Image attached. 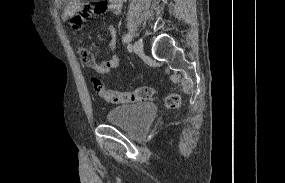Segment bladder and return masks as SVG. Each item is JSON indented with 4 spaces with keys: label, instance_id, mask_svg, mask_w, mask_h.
Returning <instances> with one entry per match:
<instances>
[{
    "label": "bladder",
    "instance_id": "31cf9c89",
    "mask_svg": "<svg viewBox=\"0 0 285 183\" xmlns=\"http://www.w3.org/2000/svg\"><path fill=\"white\" fill-rule=\"evenodd\" d=\"M157 114V107L149 102L122 105L107 113L109 124L120 126L127 131L137 133L150 125Z\"/></svg>",
    "mask_w": 285,
    "mask_h": 183
}]
</instances>
